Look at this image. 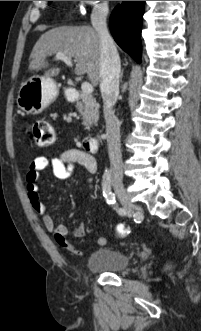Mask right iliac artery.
<instances>
[{
	"label": "right iliac artery",
	"instance_id": "1",
	"mask_svg": "<svg viewBox=\"0 0 201 331\" xmlns=\"http://www.w3.org/2000/svg\"><path fill=\"white\" fill-rule=\"evenodd\" d=\"M102 189H103V196L106 199L108 204L114 205L115 204V195L111 192V174L109 170H105L102 179ZM119 215H125L126 210L124 208H119L117 206L114 207Z\"/></svg>",
	"mask_w": 201,
	"mask_h": 331
}]
</instances>
